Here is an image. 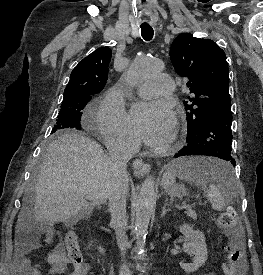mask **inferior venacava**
I'll return each instance as SVG.
<instances>
[{"label": "inferior vena cava", "instance_id": "602c4592", "mask_svg": "<svg viewBox=\"0 0 263 275\" xmlns=\"http://www.w3.org/2000/svg\"><path fill=\"white\" fill-rule=\"evenodd\" d=\"M111 171V187L109 191V211L111 224L115 229L118 247L124 256L128 244L126 235V195L128 192L127 162L133 157L135 148L128 138H119L108 146ZM119 275H130L126 265H122Z\"/></svg>", "mask_w": 263, "mask_h": 275}]
</instances>
